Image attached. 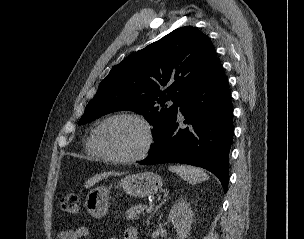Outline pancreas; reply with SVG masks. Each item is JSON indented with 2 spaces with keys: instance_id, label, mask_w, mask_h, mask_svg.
Returning <instances> with one entry per match:
<instances>
[{
  "instance_id": "1",
  "label": "pancreas",
  "mask_w": 304,
  "mask_h": 239,
  "mask_svg": "<svg viewBox=\"0 0 304 239\" xmlns=\"http://www.w3.org/2000/svg\"><path fill=\"white\" fill-rule=\"evenodd\" d=\"M146 209H147V205H142V204L135 205L126 211V213H125L126 219L127 220H138L140 214H142L144 212V210H146Z\"/></svg>"
}]
</instances>
